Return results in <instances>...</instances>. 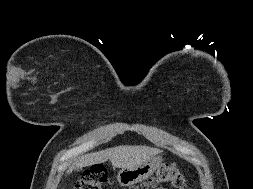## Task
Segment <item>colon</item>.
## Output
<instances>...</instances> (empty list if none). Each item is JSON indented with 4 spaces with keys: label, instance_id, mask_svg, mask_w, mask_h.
<instances>
[{
    "label": "colon",
    "instance_id": "colon-1",
    "mask_svg": "<svg viewBox=\"0 0 253 189\" xmlns=\"http://www.w3.org/2000/svg\"><path fill=\"white\" fill-rule=\"evenodd\" d=\"M107 171L101 165L91 167L74 184V189H106ZM160 184H168L174 189H184L185 181L182 173L173 164L161 165L155 174L141 186L129 189H151Z\"/></svg>",
    "mask_w": 253,
    "mask_h": 189
}]
</instances>
